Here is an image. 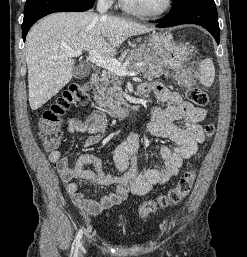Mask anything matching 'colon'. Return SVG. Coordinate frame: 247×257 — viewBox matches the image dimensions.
I'll return each instance as SVG.
<instances>
[{
  "label": "colon",
  "mask_w": 247,
  "mask_h": 257,
  "mask_svg": "<svg viewBox=\"0 0 247 257\" xmlns=\"http://www.w3.org/2000/svg\"><path fill=\"white\" fill-rule=\"evenodd\" d=\"M89 85L83 82L70 84L56 102L45 110L39 120V136L42 146L46 151L58 150L61 145L62 130L61 125L64 115L72 107H80L88 104L90 100ZM187 99L197 106H205L208 103V96L199 87H189L186 90ZM215 126L209 123L205 126L208 137L214 134ZM195 179V170L186 171L178 183L169 189L165 194L155 199L145 200L138 210L141 219H147L158 208L179 203L190 192Z\"/></svg>",
  "instance_id": "5ec220e1"
}]
</instances>
